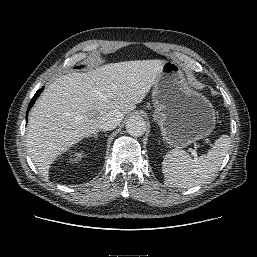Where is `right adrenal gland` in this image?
Here are the masks:
<instances>
[{
	"label": "right adrenal gland",
	"instance_id": "1",
	"mask_svg": "<svg viewBox=\"0 0 257 257\" xmlns=\"http://www.w3.org/2000/svg\"><path fill=\"white\" fill-rule=\"evenodd\" d=\"M98 132H99V130H96L93 134H91L90 136H89V138L90 137H93V138H95V140L98 138Z\"/></svg>",
	"mask_w": 257,
	"mask_h": 257
}]
</instances>
